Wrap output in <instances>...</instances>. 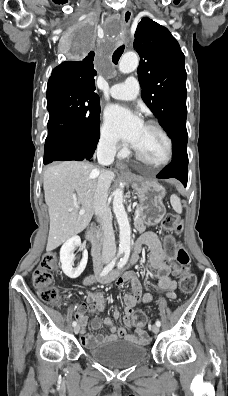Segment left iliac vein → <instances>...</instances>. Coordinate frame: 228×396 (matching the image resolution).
Masks as SVG:
<instances>
[{"mask_svg": "<svg viewBox=\"0 0 228 396\" xmlns=\"http://www.w3.org/2000/svg\"><path fill=\"white\" fill-rule=\"evenodd\" d=\"M152 331H153V333H155V334L159 333V326H157L156 324H154V325L152 326Z\"/></svg>", "mask_w": 228, "mask_h": 396, "instance_id": "1", "label": "left iliac vein"}]
</instances>
